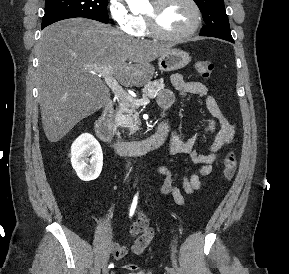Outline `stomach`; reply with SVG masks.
Here are the masks:
<instances>
[{
  "label": "stomach",
  "instance_id": "0dacf381",
  "mask_svg": "<svg viewBox=\"0 0 289 274\" xmlns=\"http://www.w3.org/2000/svg\"><path fill=\"white\" fill-rule=\"evenodd\" d=\"M190 62L189 55L180 49H170L160 56L158 67L163 72L178 70L185 67Z\"/></svg>",
  "mask_w": 289,
  "mask_h": 274
}]
</instances>
